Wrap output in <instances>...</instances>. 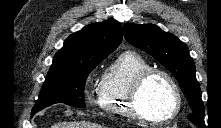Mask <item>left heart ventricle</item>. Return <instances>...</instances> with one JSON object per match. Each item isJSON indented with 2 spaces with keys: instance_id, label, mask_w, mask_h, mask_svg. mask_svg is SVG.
Returning a JSON list of instances; mask_svg holds the SVG:
<instances>
[{
  "instance_id": "obj_1",
  "label": "left heart ventricle",
  "mask_w": 221,
  "mask_h": 128,
  "mask_svg": "<svg viewBox=\"0 0 221 128\" xmlns=\"http://www.w3.org/2000/svg\"><path fill=\"white\" fill-rule=\"evenodd\" d=\"M172 104L173 98L170 86L162 76L151 77L139 93V108L152 118L164 116L170 110Z\"/></svg>"
}]
</instances>
